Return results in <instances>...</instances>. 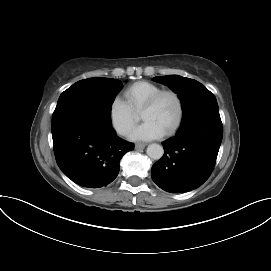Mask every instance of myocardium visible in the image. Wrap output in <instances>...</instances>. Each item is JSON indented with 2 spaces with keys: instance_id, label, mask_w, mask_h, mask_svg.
I'll use <instances>...</instances> for the list:
<instances>
[{
  "instance_id": "obj_1",
  "label": "myocardium",
  "mask_w": 271,
  "mask_h": 271,
  "mask_svg": "<svg viewBox=\"0 0 271 271\" xmlns=\"http://www.w3.org/2000/svg\"><path fill=\"white\" fill-rule=\"evenodd\" d=\"M164 95H171L175 99L176 104H177L176 119H175L174 123L172 124V126L165 132V135L169 136V135H172L179 128V126L181 125V122L183 120V116H184L183 101H182V98L179 95V93H177L175 90H172V89H162V90L156 92L155 94H153L144 103V105L141 108V112L153 108L157 104L159 99Z\"/></svg>"
}]
</instances>
